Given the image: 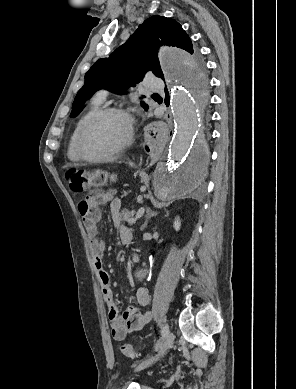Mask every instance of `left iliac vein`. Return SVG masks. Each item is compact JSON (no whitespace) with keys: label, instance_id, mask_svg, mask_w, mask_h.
I'll return each mask as SVG.
<instances>
[{"label":"left iliac vein","instance_id":"left-iliac-vein-1","mask_svg":"<svg viewBox=\"0 0 296 389\" xmlns=\"http://www.w3.org/2000/svg\"><path fill=\"white\" fill-rule=\"evenodd\" d=\"M173 340H174V335L172 332L168 331V333L166 334V336L164 337L160 347H159V351H158V354L155 355L154 357H151L150 359H147L145 361H143L137 368L136 370L139 371V370H142L144 368H147L148 366H150L151 364H153L160 356H162L172 345L173 343Z\"/></svg>","mask_w":296,"mask_h":389}]
</instances>
